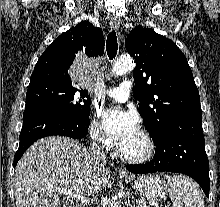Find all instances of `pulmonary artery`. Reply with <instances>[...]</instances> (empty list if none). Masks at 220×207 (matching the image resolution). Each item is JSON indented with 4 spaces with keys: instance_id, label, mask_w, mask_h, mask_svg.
<instances>
[{
    "instance_id": "1",
    "label": "pulmonary artery",
    "mask_w": 220,
    "mask_h": 207,
    "mask_svg": "<svg viewBox=\"0 0 220 207\" xmlns=\"http://www.w3.org/2000/svg\"><path fill=\"white\" fill-rule=\"evenodd\" d=\"M131 88V81L125 80L118 87L108 88L105 93L107 96L118 102H125L129 98Z\"/></svg>"
}]
</instances>
